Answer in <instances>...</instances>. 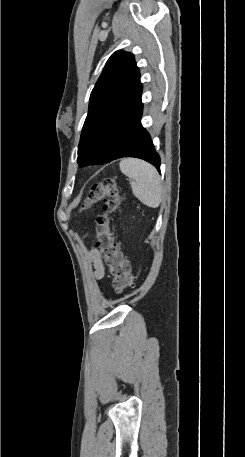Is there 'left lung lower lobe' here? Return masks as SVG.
I'll use <instances>...</instances> for the list:
<instances>
[{
    "label": "left lung lower lobe",
    "mask_w": 245,
    "mask_h": 457,
    "mask_svg": "<svg viewBox=\"0 0 245 457\" xmlns=\"http://www.w3.org/2000/svg\"><path fill=\"white\" fill-rule=\"evenodd\" d=\"M142 108L117 115L98 126L82 140L78 149L80 166L103 164L123 157L143 159L160 172V157L149 133L141 125Z\"/></svg>",
    "instance_id": "0a47b994"
}]
</instances>
